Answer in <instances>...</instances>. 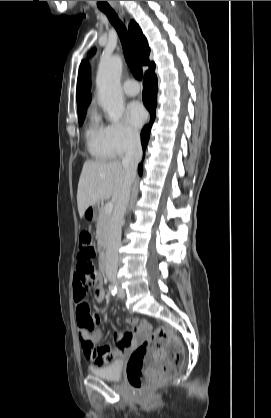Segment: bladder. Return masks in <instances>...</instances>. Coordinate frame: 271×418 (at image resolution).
Here are the masks:
<instances>
[{
	"label": "bladder",
	"instance_id": "bladder-1",
	"mask_svg": "<svg viewBox=\"0 0 271 418\" xmlns=\"http://www.w3.org/2000/svg\"><path fill=\"white\" fill-rule=\"evenodd\" d=\"M122 368V361L115 360L102 367L92 368L91 373L107 381H118L122 375Z\"/></svg>",
	"mask_w": 271,
	"mask_h": 418
}]
</instances>
